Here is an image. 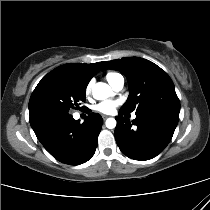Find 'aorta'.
<instances>
[{"label":"aorta","instance_id":"762f6f07","mask_svg":"<svg viewBox=\"0 0 210 210\" xmlns=\"http://www.w3.org/2000/svg\"><path fill=\"white\" fill-rule=\"evenodd\" d=\"M110 95L111 88L106 83L99 82L93 88V97L96 100L107 99ZM105 124L108 129H113L116 127L117 123L114 118H108Z\"/></svg>","mask_w":210,"mask_h":210}]
</instances>
